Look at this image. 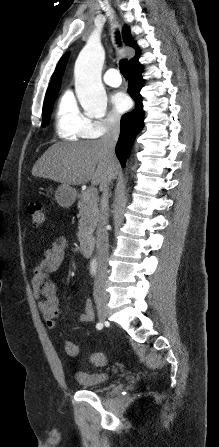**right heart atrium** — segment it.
<instances>
[{
  "mask_svg": "<svg viewBox=\"0 0 219 447\" xmlns=\"http://www.w3.org/2000/svg\"><path fill=\"white\" fill-rule=\"evenodd\" d=\"M121 121V115L115 111H111L104 118L94 121L93 130L96 137L114 131L121 125Z\"/></svg>",
  "mask_w": 219,
  "mask_h": 447,
  "instance_id": "right-heart-atrium-1",
  "label": "right heart atrium"
}]
</instances>
